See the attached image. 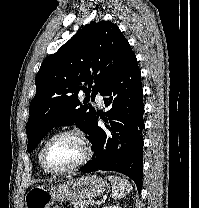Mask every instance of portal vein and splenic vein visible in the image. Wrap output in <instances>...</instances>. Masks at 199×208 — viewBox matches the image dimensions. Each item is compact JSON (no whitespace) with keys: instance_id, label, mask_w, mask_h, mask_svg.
I'll return each mask as SVG.
<instances>
[{"instance_id":"18ae733b","label":"portal vein and splenic vein","mask_w":199,"mask_h":208,"mask_svg":"<svg viewBox=\"0 0 199 208\" xmlns=\"http://www.w3.org/2000/svg\"><path fill=\"white\" fill-rule=\"evenodd\" d=\"M100 204H101V202H99V201L96 202V205H100Z\"/></svg>"}]
</instances>
